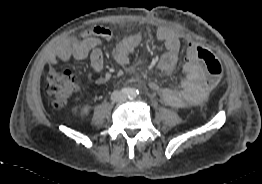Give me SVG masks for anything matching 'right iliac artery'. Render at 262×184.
<instances>
[{
  "label": "right iliac artery",
  "instance_id": "82829eb1",
  "mask_svg": "<svg viewBox=\"0 0 262 184\" xmlns=\"http://www.w3.org/2000/svg\"><path fill=\"white\" fill-rule=\"evenodd\" d=\"M134 89L133 88H129V87H124L121 89V92L124 95H127L128 97L133 93Z\"/></svg>",
  "mask_w": 262,
  "mask_h": 184
}]
</instances>
